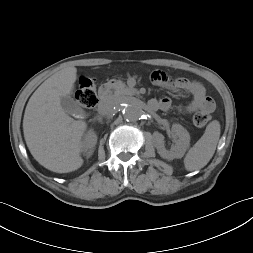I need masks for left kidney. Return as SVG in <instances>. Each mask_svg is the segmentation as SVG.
Masks as SVG:
<instances>
[{"instance_id":"obj_1","label":"left kidney","mask_w":253,"mask_h":253,"mask_svg":"<svg viewBox=\"0 0 253 253\" xmlns=\"http://www.w3.org/2000/svg\"><path fill=\"white\" fill-rule=\"evenodd\" d=\"M171 131L177 140L170 150L165 148L164 136L159 132L153 133L154 144L158 154L167 160L182 158L190 144V135L183 126L173 124Z\"/></svg>"}]
</instances>
